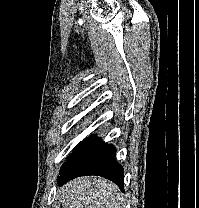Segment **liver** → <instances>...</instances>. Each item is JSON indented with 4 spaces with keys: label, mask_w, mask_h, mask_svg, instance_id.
<instances>
[{
    "label": "liver",
    "mask_w": 199,
    "mask_h": 208,
    "mask_svg": "<svg viewBox=\"0 0 199 208\" xmlns=\"http://www.w3.org/2000/svg\"><path fill=\"white\" fill-rule=\"evenodd\" d=\"M63 208H121L122 198L118 187L101 177H80L59 189Z\"/></svg>",
    "instance_id": "6515ba94"
}]
</instances>
